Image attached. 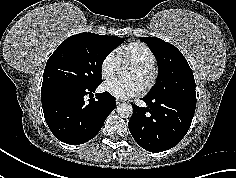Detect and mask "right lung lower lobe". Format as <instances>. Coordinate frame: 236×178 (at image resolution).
<instances>
[{"instance_id":"obj_1","label":"right lung lower lobe","mask_w":236,"mask_h":178,"mask_svg":"<svg viewBox=\"0 0 236 178\" xmlns=\"http://www.w3.org/2000/svg\"><path fill=\"white\" fill-rule=\"evenodd\" d=\"M96 88L42 85L41 101L45 121L58 140L77 145L97 135L107 116L116 107V102L107 92L95 94V98L85 102V96H94Z\"/></svg>"}]
</instances>
